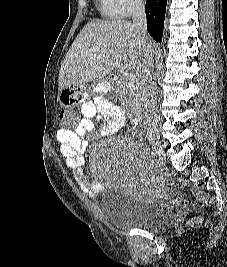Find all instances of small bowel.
Segmentation results:
<instances>
[{
  "mask_svg": "<svg viewBox=\"0 0 227 267\" xmlns=\"http://www.w3.org/2000/svg\"><path fill=\"white\" fill-rule=\"evenodd\" d=\"M125 123L126 117L122 108L106 98L99 97L81 106L78 122L73 129H58L57 141L60 143L66 165L81 191L87 196L95 197L101 184L91 179L82 167V155L88 147L86 134L97 128L100 135L112 136L118 133ZM137 191L143 197L155 194V189L146 182L138 184Z\"/></svg>",
  "mask_w": 227,
  "mask_h": 267,
  "instance_id": "c3829d8e",
  "label": "small bowel"
}]
</instances>
